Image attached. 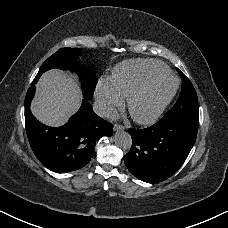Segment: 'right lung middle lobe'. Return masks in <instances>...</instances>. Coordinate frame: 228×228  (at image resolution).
<instances>
[{
	"mask_svg": "<svg viewBox=\"0 0 228 228\" xmlns=\"http://www.w3.org/2000/svg\"><path fill=\"white\" fill-rule=\"evenodd\" d=\"M80 52L78 48L60 49L43 63L36 77H40L43 72L53 68L75 71L81 79L84 98L90 99L97 84V77L89 68L77 65L76 58Z\"/></svg>",
	"mask_w": 228,
	"mask_h": 228,
	"instance_id": "right-lung-middle-lobe-1",
	"label": "right lung middle lobe"
}]
</instances>
